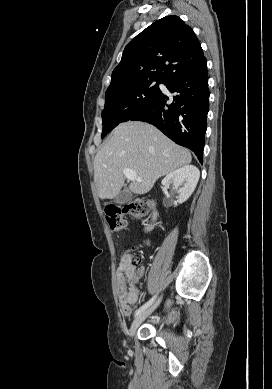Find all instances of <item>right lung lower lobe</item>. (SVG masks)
I'll list each match as a JSON object with an SVG mask.
<instances>
[{
  "instance_id": "obj_1",
  "label": "right lung lower lobe",
  "mask_w": 272,
  "mask_h": 389,
  "mask_svg": "<svg viewBox=\"0 0 272 389\" xmlns=\"http://www.w3.org/2000/svg\"><path fill=\"white\" fill-rule=\"evenodd\" d=\"M164 85L174 96L160 92L130 120L153 124L177 144L191 149L202 163L210 95L206 58L173 75Z\"/></svg>"
}]
</instances>
